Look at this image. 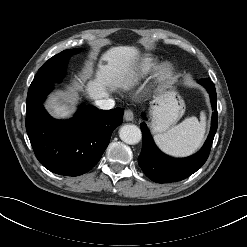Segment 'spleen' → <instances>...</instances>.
I'll list each match as a JSON object with an SVG mask.
<instances>
[{
    "label": "spleen",
    "instance_id": "obj_1",
    "mask_svg": "<svg viewBox=\"0 0 247 247\" xmlns=\"http://www.w3.org/2000/svg\"><path fill=\"white\" fill-rule=\"evenodd\" d=\"M206 116L202 111L197 117H187L180 124L154 137L158 147L168 155L183 157L195 152L202 144L205 134Z\"/></svg>",
    "mask_w": 247,
    "mask_h": 247
}]
</instances>
